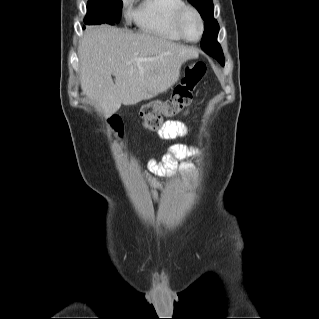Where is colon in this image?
<instances>
[{
  "label": "colon",
  "instance_id": "5ec220e1",
  "mask_svg": "<svg viewBox=\"0 0 319 319\" xmlns=\"http://www.w3.org/2000/svg\"><path fill=\"white\" fill-rule=\"evenodd\" d=\"M206 71L205 63L200 61L188 66L175 87L172 97L167 102L147 104L141 109L144 127L147 130L155 131L161 128L164 118L177 116L190 103L193 92ZM111 127L113 133L120 134V119L115 118Z\"/></svg>",
  "mask_w": 319,
  "mask_h": 319
}]
</instances>
